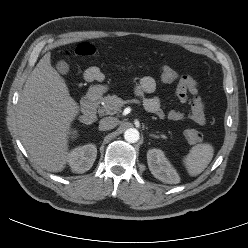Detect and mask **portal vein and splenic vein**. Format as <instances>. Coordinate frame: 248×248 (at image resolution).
I'll return each mask as SVG.
<instances>
[{"label": "portal vein and splenic vein", "mask_w": 248, "mask_h": 248, "mask_svg": "<svg viewBox=\"0 0 248 248\" xmlns=\"http://www.w3.org/2000/svg\"><path fill=\"white\" fill-rule=\"evenodd\" d=\"M119 103L124 104V102L122 100H120Z\"/></svg>", "instance_id": "portal-vein-and-splenic-vein-1"}]
</instances>
